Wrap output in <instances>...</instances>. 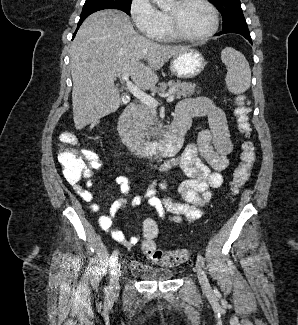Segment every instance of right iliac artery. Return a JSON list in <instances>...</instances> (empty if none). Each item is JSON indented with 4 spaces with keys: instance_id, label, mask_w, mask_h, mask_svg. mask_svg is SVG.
<instances>
[{
    "instance_id": "obj_1",
    "label": "right iliac artery",
    "mask_w": 298,
    "mask_h": 325,
    "mask_svg": "<svg viewBox=\"0 0 298 325\" xmlns=\"http://www.w3.org/2000/svg\"><path fill=\"white\" fill-rule=\"evenodd\" d=\"M117 251H114L110 257V268L112 269L113 267H115L116 261H117ZM112 273V270H111ZM107 289V288H105Z\"/></svg>"
}]
</instances>
